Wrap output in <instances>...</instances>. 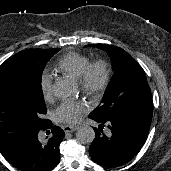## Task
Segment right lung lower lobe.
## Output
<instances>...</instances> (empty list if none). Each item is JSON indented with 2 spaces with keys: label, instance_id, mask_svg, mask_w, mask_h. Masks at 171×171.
Segmentation results:
<instances>
[{
  "label": "right lung lower lobe",
  "instance_id": "obj_1",
  "mask_svg": "<svg viewBox=\"0 0 171 171\" xmlns=\"http://www.w3.org/2000/svg\"><path fill=\"white\" fill-rule=\"evenodd\" d=\"M51 128V136L46 142L38 138L40 130ZM39 131L27 138L11 155L6 157L15 168L21 171H51L59 163V145L65 136L64 131L47 120ZM50 133V131H47Z\"/></svg>",
  "mask_w": 171,
  "mask_h": 171
}]
</instances>
